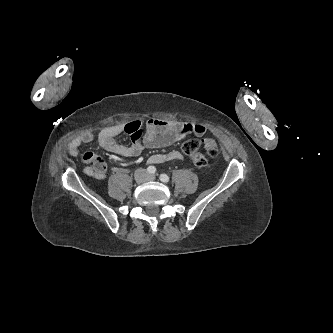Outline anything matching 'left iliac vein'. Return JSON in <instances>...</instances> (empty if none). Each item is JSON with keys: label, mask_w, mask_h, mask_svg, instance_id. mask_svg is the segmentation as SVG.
I'll list each match as a JSON object with an SVG mask.
<instances>
[{"label": "left iliac vein", "mask_w": 333, "mask_h": 333, "mask_svg": "<svg viewBox=\"0 0 333 333\" xmlns=\"http://www.w3.org/2000/svg\"><path fill=\"white\" fill-rule=\"evenodd\" d=\"M149 179H150V180H154V179H155V176H154V175H150V176H149Z\"/></svg>", "instance_id": "1"}]
</instances>
